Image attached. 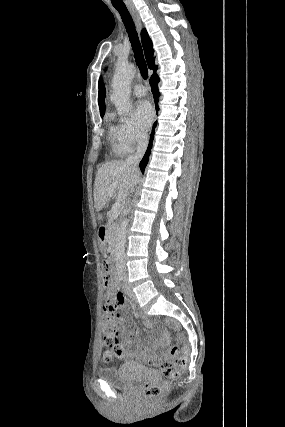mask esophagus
I'll return each instance as SVG.
<instances>
[{
    "label": "esophagus",
    "mask_w": 285,
    "mask_h": 427,
    "mask_svg": "<svg viewBox=\"0 0 285 427\" xmlns=\"http://www.w3.org/2000/svg\"><path fill=\"white\" fill-rule=\"evenodd\" d=\"M128 10H129L130 14L132 15V18L135 22V25H136L138 31L140 32L142 29V21H141V18H140L138 11L136 10V8L134 6H129Z\"/></svg>",
    "instance_id": "esophagus-1"
}]
</instances>
